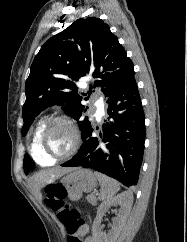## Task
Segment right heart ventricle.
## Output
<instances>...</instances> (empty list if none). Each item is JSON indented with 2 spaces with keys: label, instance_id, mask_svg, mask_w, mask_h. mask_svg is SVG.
I'll use <instances>...</instances> for the list:
<instances>
[{
  "label": "right heart ventricle",
  "instance_id": "e07e8e85",
  "mask_svg": "<svg viewBox=\"0 0 187 242\" xmlns=\"http://www.w3.org/2000/svg\"><path fill=\"white\" fill-rule=\"evenodd\" d=\"M46 125L45 120H42L37 125L31 139V155L33 159L41 166H50L54 164V161L45 157L39 148V137Z\"/></svg>",
  "mask_w": 187,
  "mask_h": 242
}]
</instances>
